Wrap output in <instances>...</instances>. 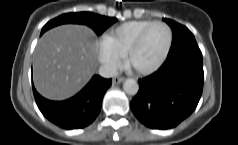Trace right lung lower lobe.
<instances>
[{"label":"right lung lower lobe","mask_w":238,"mask_h":145,"mask_svg":"<svg viewBox=\"0 0 238 145\" xmlns=\"http://www.w3.org/2000/svg\"><path fill=\"white\" fill-rule=\"evenodd\" d=\"M112 79L94 75L91 81L74 97L65 101H50L34 88L33 94L39 110L55 125L63 129H79L90 125L99 114L102 99Z\"/></svg>","instance_id":"right-lung-lower-lobe-1"}]
</instances>
